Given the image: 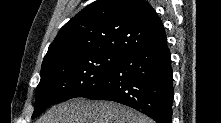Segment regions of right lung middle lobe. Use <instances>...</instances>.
Returning a JSON list of instances; mask_svg holds the SVG:
<instances>
[{
    "mask_svg": "<svg viewBox=\"0 0 221 123\" xmlns=\"http://www.w3.org/2000/svg\"><path fill=\"white\" fill-rule=\"evenodd\" d=\"M126 55L108 49H95L42 64L32 118L39 116L50 105L82 97L96 89Z\"/></svg>",
    "mask_w": 221,
    "mask_h": 123,
    "instance_id": "obj_1",
    "label": "right lung middle lobe"
}]
</instances>
